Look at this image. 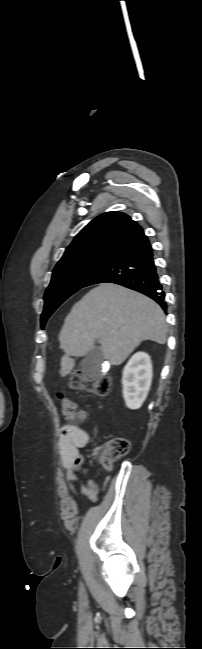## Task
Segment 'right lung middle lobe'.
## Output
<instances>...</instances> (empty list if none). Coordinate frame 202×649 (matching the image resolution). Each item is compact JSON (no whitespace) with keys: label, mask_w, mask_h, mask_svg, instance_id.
<instances>
[{"label":"right lung middle lobe","mask_w":202,"mask_h":649,"mask_svg":"<svg viewBox=\"0 0 202 649\" xmlns=\"http://www.w3.org/2000/svg\"><path fill=\"white\" fill-rule=\"evenodd\" d=\"M115 254L103 251L85 252L61 259L55 266L51 283L44 295V311L41 326L76 291L84 287L91 276Z\"/></svg>","instance_id":"dd1d6c3e"}]
</instances>
